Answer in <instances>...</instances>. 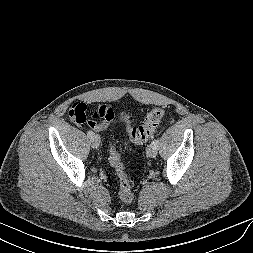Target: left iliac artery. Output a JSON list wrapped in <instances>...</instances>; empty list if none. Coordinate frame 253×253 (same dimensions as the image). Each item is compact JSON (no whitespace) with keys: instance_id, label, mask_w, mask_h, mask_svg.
<instances>
[{"instance_id":"44dca946","label":"left iliac artery","mask_w":253,"mask_h":253,"mask_svg":"<svg viewBox=\"0 0 253 253\" xmlns=\"http://www.w3.org/2000/svg\"><path fill=\"white\" fill-rule=\"evenodd\" d=\"M150 145H152L153 147H155L157 149L158 145H159V141L158 140H154Z\"/></svg>"}]
</instances>
